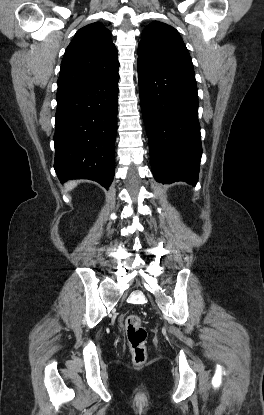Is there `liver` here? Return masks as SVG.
<instances>
[{
    "mask_svg": "<svg viewBox=\"0 0 264 415\" xmlns=\"http://www.w3.org/2000/svg\"><path fill=\"white\" fill-rule=\"evenodd\" d=\"M75 185H76V182H74V181L69 182V183L66 185V189H70V188L74 187Z\"/></svg>",
    "mask_w": 264,
    "mask_h": 415,
    "instance_id": "liver-1",
    "label": "liver"
}]
</instances>
